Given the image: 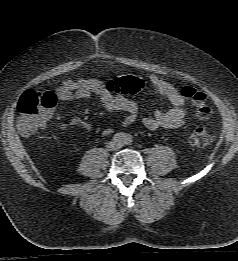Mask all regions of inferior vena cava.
<instances>
[{
	"label": "inferior vena cava",
	"instance_id": "602c4592",
	"mask_svg": "<svg viewBox=\"0 0 238 261\" xmlns=\"http://www.w3.org/2000/svg\"><path fill=\"white\" fill-rule=\"evenodd\" d=\"M119 148H121V144L117 143V144L112 148V150H117V149H119Z\"/></svg>",
	"mask_w": 238,
	"mask_h": 261
}]
</instances>
